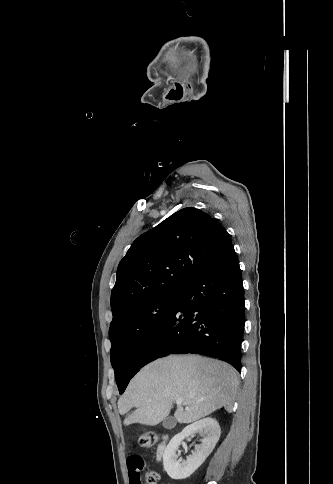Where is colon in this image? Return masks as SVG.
<instances>
[{"label": "colon", "mask_w": 333, "mask_h": 484, "mask_svg": "<svg viewBox=\"0 0 333 484\" xmlns=\"http://www.w3.org/2000/svg\"><path fill=\"white\" fill-rule=\"evenodd\" d=\"M158 437L156 433L152 431L145 432L139 437V445L144 448H150L157 443ZM159 479V475L156 472H149L146 476V482L148 484H156Z\"/></svg>", "instance_id": "colon-1"}]
</instances>
